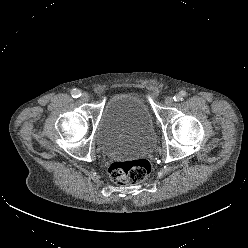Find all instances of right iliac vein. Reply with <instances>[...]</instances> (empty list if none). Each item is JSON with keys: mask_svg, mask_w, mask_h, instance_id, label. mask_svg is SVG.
<instances>
[{"mask_svg": "<svg viewBox=\"0 0 248 248\" xmlns=\"http://www.w3.org/2000/svg\"><path fill=\"white\" fill-rule=\"evenodd\" d=\"M81 99L83 100V101H88L89 100V94L88 93H86V92H83L82 94H81Z\"/></svg>", "mask_w": 248, "mask_h": 248, "instance_id": "right-iliac-vein-1", "label": "right iliac vein"}]
</instances>
